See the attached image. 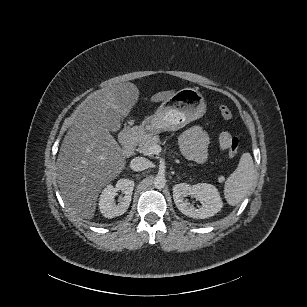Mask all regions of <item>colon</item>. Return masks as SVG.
I'll return each mask as SVG.
<instances>
[{
  "instance_id": "5ec220e1",
  "label": "colon",
  "mask_w": 307,
  "mask_h": 307,
  "mask_svg": "<svg viewBox=\"0 0 307 307\" xmlns=\"http://www.w3.org/2000/svg\"><path fill=\"white\" fill-rule=\"evenodd\" d=\"M220 114L225 120H230L233 117L232 111L225 105H221L220 108ZM239 142L237 138H233L230 142V146L228 148V156L230 158H233L236 156L238 152Z\"/></svg>"
}]
</instances>
